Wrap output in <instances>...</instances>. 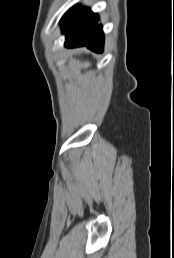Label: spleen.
Segmentation results:
<instances>
[{
    "mask_svg": "<svg viewBox=\"0 0 174 258\" xmlns=\"http://www.w3.org/2000/svg\"><path fill=\"white\" fill-rule=\"evenodd\" d=\"M89 65H90V64L86 62V63H84L83 66H84V67H88Z\"/></svg>",
    "mask_w": 174,
    "mask_h": 258,
    "instance_id": "spleen-1",
    "label": "spleen"
}]
</instances>
